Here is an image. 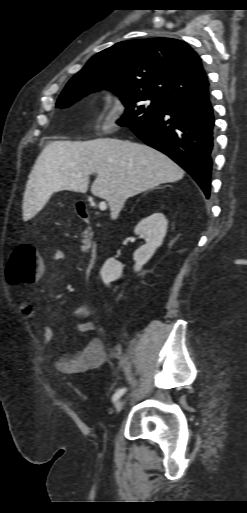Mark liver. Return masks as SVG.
Here are the masks:
<instances>
[{
  "label": "liver",
  "mask_w": 247,
  "mask_h": 513,
  "mask_svg": "<svg viewBox=\"0 0 247 513\" xmlns=\"http://www.w3.org/2000/svg\"><path fill=\"white\" fill-rule=\"evenodd\" d=\"M91 192L105 199L116 219L125 201L160 184L181 180L184 170L145 144L112 138L55 141L37 158L23 197V216H35L58 191ZM80 174V175H79Z\"/></svg>",
  "instance_id": "6515ba94"
}]
</instances>
